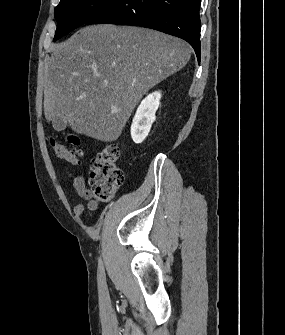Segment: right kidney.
Masks as SVG:
<instances>
[{"mask_svg": "<svg viewBox=\"0 0 285 335\" xmlns=\"http://www.w3.org/2000/svg\"><path fill=\"white\" fill-rule=\"evenodd\" d=\"M162 96L160 92H153L142 100L133 118L131 126V138L135 144H141L147 138L153 122L156 120V112L159 108Z\"/></svg>", "mask_w": 285, "mask_h": 335, "instance_id": "right-kidney-1", "label": "right kidney"}]
</instances>
